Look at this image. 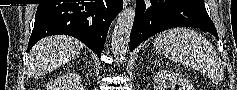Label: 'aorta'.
Segmentation results:
<instances>
[{
	"label": "aorta",
	"instance_id": "obj_1",
	"mask_svg": "<svg viewBox=\"0 0 237 90\" xmlns=\"http://www.w3.org/2000/svg\"><path fill=\"white\" fill-rule=\"evenodd\" d=\"M136 6H125L120 12L112 32V54L116 62L126 60L130 34L135 20Z\"/></svg>",
	"mask_w": 237,
	"mask_h": 90
}]
</instances>
